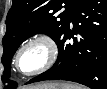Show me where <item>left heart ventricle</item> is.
I'll return each instance as SVG.
<instances>
[{"mask_svg": "<svg viewBox=\"0 0 107 89\" xmlns=\"http://www.w3.org/2000/svg\"><path fill=\"white\" fill-rule=\"evenodd\" d=\"M47 59V49L42 43L29 45L21 53L19 67L23 72H31L41 67Z\"/></svg>", "mask_w": 107, "mask_h": 89, "instance_id": "b2bd125f", "label": "left heart ventricle"}]
</instances>
